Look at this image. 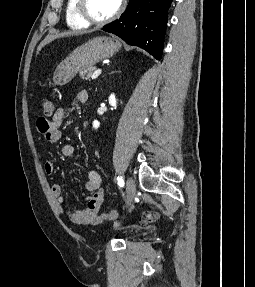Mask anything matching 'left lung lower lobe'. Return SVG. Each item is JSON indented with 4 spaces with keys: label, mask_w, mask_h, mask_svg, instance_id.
Listing matches in <instances>:
<instances>
[{
    "label": "left lung lower lobe",
    "mask_w": 255,
    "mask_h": 287,
    "mask_svg": "<svg viewBox=\"0 0 255 287\" xmlns=\"http://www.w3.org/2000/svg\"><path fill=\"white\" fill-rule=\"evenodd\" d=\"M173 0H130L125 13L102 28L139 46L160 59L167 25V15Z\"/></svg>",
    "instance_id": "1"
}]
</instances>
